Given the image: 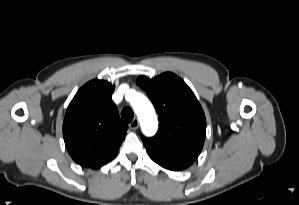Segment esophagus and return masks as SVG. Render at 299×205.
Here are the masks:
<instances>
[{
  "label": "esophagus",
  "mask_w": 299,
  "mask_h": 205,
  "mask_svg": "<svg viewBox=\"0 0 299 205\" xmlns=\"http://www.w3.org/2000/svg\"><path fill=\"white\" fill-rule=\"evenodd\" d=\"M130 129L136 130L139 127V121L137 118H135L130 124H129Z\"/></svg>",
  "instance_id": "esophagus-1"
}]
</instances>
